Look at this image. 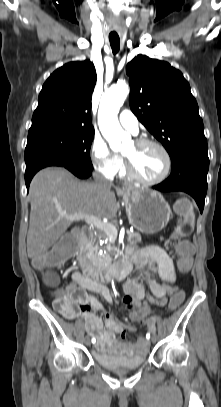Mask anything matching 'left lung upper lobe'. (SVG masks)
I'll return each mask as SVG.
<instances>
[{"instance_id":"left-lung-upper-lobe-1","label":"left lung upper lobe","mask_w":221,"mask_h":407,"mask_svg":"<svg viewBox=\"0 0 221 407\" xmlns=\"http://www.w3.org/2000/svg\"><path fill=\"white\" fill-rule=\"evenodd\" d=\"M126 73L132 112L163 144L172 163L191 147L207 146L197 102L179 70L138 55L128 63Z\"/></svg>"}]
</instances>
